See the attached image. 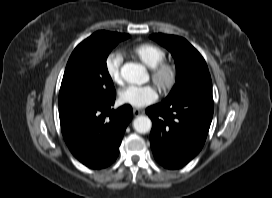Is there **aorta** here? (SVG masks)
<instances>
[{
    "mask_svg": "<svg viewBox=\"0 0 272 198\" xmlns=\"http://www.w3.org/2000/svg\"><path fill=\"white\" fill-rule=\"evenodd\" d=\"M121 77L128 83L144 84L147 81V71L141 64L128 62L121 68ZM152 122L147 116H138L133 121L136 132L145 134L150 131Z\"/></svg>",
    "mask_w": 272,
    "mask_h": 198,
    "instance_id": "aorta-1",
    "label": "aorta"
}]
</instances>
